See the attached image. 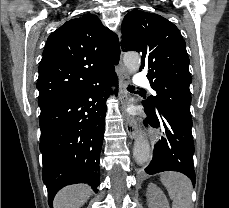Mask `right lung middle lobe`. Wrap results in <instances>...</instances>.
<instances>
[{
  "mask_svg": "<svg viewBox=\"0 0 229 208\" xmlns=\"http://www.w3.org/2000/svg\"><path fill=\"white\" fill-rule=\"evenodd\" d=\"M58 104V102H51V103H45V104H39L41 109V114H45L49 110H51L53 107H55Z\"/></svg>",
  "mask_w": 229,
  "mask_h": 208,
  "instance_id": "obj_1",
  "label": "right lung middle lobe"
}]
</instances>
